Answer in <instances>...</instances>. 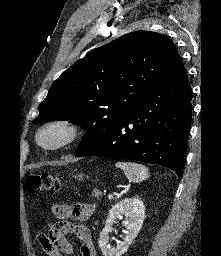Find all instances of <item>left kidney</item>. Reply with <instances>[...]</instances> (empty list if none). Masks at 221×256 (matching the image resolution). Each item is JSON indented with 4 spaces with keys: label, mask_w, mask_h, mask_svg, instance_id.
I'll use <instances>...</instances> for the list:
<instances>
[{
    "label": "left kidney",
    "mask_w": 221,
    "mask_h": 256,
    "mask_svg": "<svg viewBox=\"0 0 221 256\" xmlns=\"http://www.w3.org/2000/svg\"><path fill=\"white\" fill-rule=\"evenodd\" d=\"M123 215L126 220L122 222L127 228L123 241L119 242L116 247H111L109 243V234L112 225L117 218L122 219ZM145 219V206L138 198H127L112 206L109 211L108 219L99 237V247L104 256H121L124 254L132 241L137 237L143 221Z\"/></svg>",
    "instance_id": "left-kidney-1"
}]
</instances>
